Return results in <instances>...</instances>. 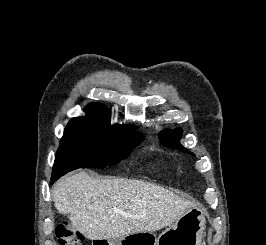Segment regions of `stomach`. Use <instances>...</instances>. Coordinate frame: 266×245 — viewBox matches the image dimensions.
Masks as SVG:
<instances>
[{
    "label": "stomach",
    "mask_w": 266,
    "mask_h": 245,
    "mask_svg": "<svg viewBox=\"0 0 266 245\" xmlns=\"http://www.w3.org/2000/svg\"><path fill=\"white\" fill-rule=\"evenodd\" d=\"M205 217L200 209H190L177 219L159 237L154 233H131L108 241V245H202L205 231Z\"/></svg>",
    "instance_id": "stomach-1"
}]
</instances>
